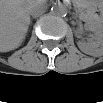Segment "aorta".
I'll use <instances>...</instances> for the list:
<instances>
[{
    "mask_svg": "<svg viewBox=\"0 0 103 103\" xmlns=\"http://www.w3.org/2000/svg\"><path fill=\"white\" fill-rule=\"evenodd\" d=\"M52 14L55 16H66L68 8L64 3H56L51 8Z\"/></svg>",
    "mask_w": 103,
    "mask_h": 103,
    "instance_id": "aorta-1",
    "label": "aorta"
}]
</instances>
